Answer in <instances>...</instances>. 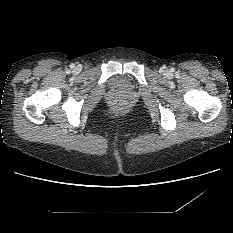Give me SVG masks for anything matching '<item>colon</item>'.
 I'll return each instance as SVG.
<instances>
[{
    "instance_id": "colon-1",
    "label": "colon",
    "mask_w": 233,
    "mask_h": 233,
    "mask_svg": "<svg viewBox=\"0 0 233 233\" xmlns=\"http://www.w3.org/2000/svg\"><path fill=\"white\" fill-rule=\"evenodd\" d=\"M113 111L116 114H124L128 111V102L125 99H117L113 102Z\"/></svg>"
}]
</instances>
